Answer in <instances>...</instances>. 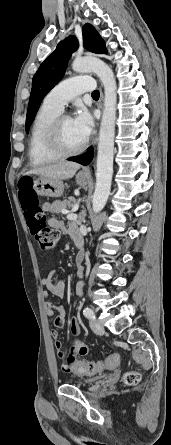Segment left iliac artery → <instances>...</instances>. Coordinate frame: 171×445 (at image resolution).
<instances>
[{"label":"left iliac artery","instance_id":"obj_1","mask_svg":"<svg viewBox=\"0 0 171 445\" xmlns=\"http://www.w3.org/2000/svg\"><path fill=\"white\" fill-rule=\"evenodd\" d=\"M83 314L86 318L94 320L95 319V315L92 309H90L89 307L84 308L83 310Z\"/></svg>","mask_w":171,"mask_h":445}]
</instances>
